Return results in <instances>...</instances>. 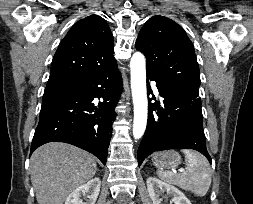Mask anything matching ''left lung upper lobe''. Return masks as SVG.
<instances>
[{
	"label": "left lung upper lobe",
	"instance_id": "obj_1",
	"mask_svg": "<svg viewBox=\"0 0 253 204\" xmlns=\"http://www.w3.org/2000/svg\"><path fill=\"white\" fill-rule=\"evenodd\" d=\"M135 47L146 56L147 75L168 87L198 92L201 81L194 46L173 20L160 15L150 18Z\"/></svg>",
	"mask_w": 253,
	"mask_h": 204
}]
</instances>
